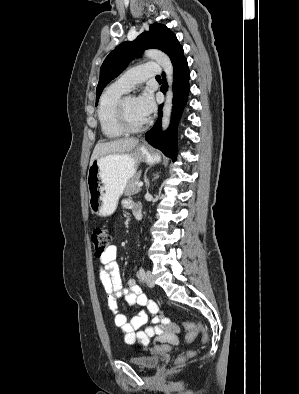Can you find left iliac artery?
<instances>
[{"instance_id":"obj_1","label":"left iliac artery","mask_w":299,"mask_h":394,"mask_svg":"<svg viewBox=\"0 0 299 394\" xmlns=\"http://www.w3.org/2000/svg\"><path fill=\"white\" fill-rule=\"evenodd\" d=\"M139 277L141 280H144V278H145V270L143 267H140V269H139Z\"/></svg>"}]
</instances>
